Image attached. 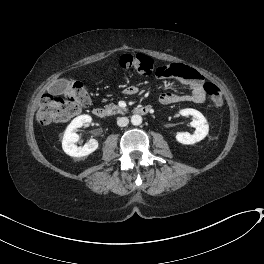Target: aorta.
I'll use <instances>...</instances> for the list:
<instances>
[{
    "label": "aorta",
    "instance_id": "obj_1",
    "mask_svg": "<svg viewBox=\"0 0 264 264\" xmlns=\"http://www.w3.org/2000/svg\"><path fill=\"white\" fill-rule=\"evenodd\" d=\"M131 123L135 126H138L142 123V117L138 114H135L131 117Z\"/></svg>",
    "mask_w": 264,
    "mask_h": 264
}]
</instances>
